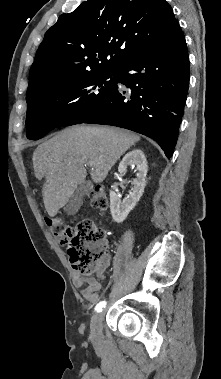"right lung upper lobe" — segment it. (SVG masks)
<instances>
[{"instance_id":"right-lung-upper-lobe-1","label":"right lung upper lobe","mask_w":221,"mask_h":379,"mask_svg":"<svg viewBox=\"0 0 221 379\" xmlns=\"http://www.w3.org/2000/svg\"><path fill=\"white\" fill-rule=\"evenodd\" d=\"M178 28L165 0H87L46 32L31 66L27 102L51 85L117 69Z\"/></svg>"}]
</instances>
